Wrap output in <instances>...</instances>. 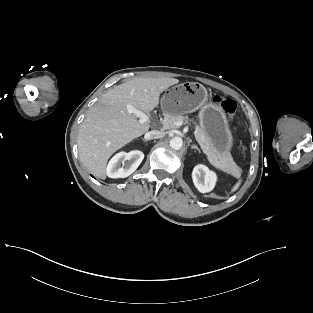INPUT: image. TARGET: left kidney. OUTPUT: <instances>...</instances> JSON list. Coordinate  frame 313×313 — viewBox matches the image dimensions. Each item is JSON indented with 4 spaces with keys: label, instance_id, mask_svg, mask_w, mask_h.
I'll return each instance as SVG.
<instances>
[{
    "label": "left kidney",
    "instance_id": "5707ae66",
    "mask_svg": "<svg viewBox=\"0 0 313 313\" xmlns=\"http://www.w3.org/2000/svg\"><path fill=\"white\" fill-rule=\"evenodd\" d=\"M192 179L195 187L201 192H210L216 183V174L205 165H197L192 171Z\"/></svg>",
    "mask_w": 313,
    "mask_h": 313
}]
</instances>
